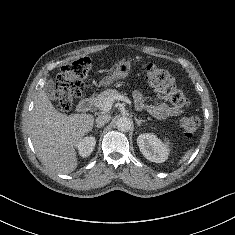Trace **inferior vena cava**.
<instances>
[{"instance_id": "602c4592", "label": "inferior vena cava", "mask_w": 235, "mask_h": 235, "mask_svg": "<svg viewBox=\"0 0 235 235\" xmlns=\"http://www.w3.org/2000/svg\"><path fill=\"white\" fill-rule=\"evenodd\" d=\"M110 119H111L110 115H100L96 118V124L103 126L106 123H108Z\"/></svg>"}]
</instances>
